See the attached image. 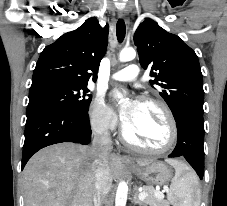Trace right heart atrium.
I'll use <instances>...</instances> for the list:
<instances>
[{"label":"right heart atrium","instance_id":"d8ad5b80","mask_svg":"<svg viewBox=\"0 0 227 206\" xmlns=\"http://www.w3.org/2000/svg\"><path fill=\"white\" fill-rule=\"evenodd\" d=\"M89 119L93 129L99 133H110L117 125V117L114 111L101 97H97L91 104Z\"/></svg>","mask_w":227,"mask_h":206}]
</instances>
